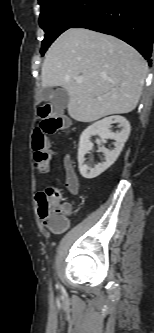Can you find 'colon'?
Returning a JSON list of instances; mask_svg holds the SVG:
<instances>
[{
	"instance_id": "1",
	"label": "colon",
	"mask_w": 154,
	"mask_h": 333,
	"mask_svg": "<svg viewBox=\"0 0 154 333\" xmlns=\"http://www.w3.org/2000/svg\"><path fill=\"white\" fill-rule=\"evenodd\" d=\"M41 118L39 126L32 133L34 164L38 171L45 173L50 165L51 150L48 135L69 130V121L61 114L52 112L46 107L38 110ZM39 217L45 226L53 232L67 227L66 209L58 189L48 187L35 197Z\"/></svg>"
}]
</instances>
